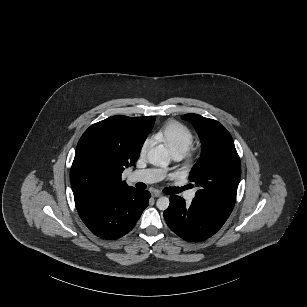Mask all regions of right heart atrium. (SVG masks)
I'll return each instance as SVG.
<instances>
[{"label": "right heart atrium", "mask_w": 307, "mask_h": 307, "mask_svg": "<svg viewBox=\"0 0 307 307\" xmlns=\"http://www.w3.org/2000/svg\"><path fill=\"white\" fill-rule=\"evenodd\" d=\"M152 144H153V140L147 139L141 147V153H145L151 147Z\"/></svg>", "instance_id": "right-heart-atrium-1"}]
</instances>
